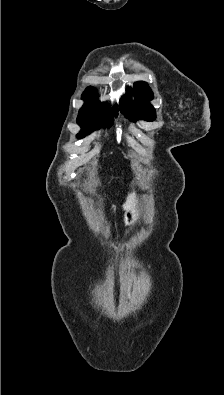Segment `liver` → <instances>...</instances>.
I'll use <instances>...</instances> for the list:
<instances>
[{
  "instance_id": "6515ba94",
  "label": "liver",
  "mask_w": 224,
  "mask_h": 395,
  "mask_svg": "<svg viewBox=\"0 0 224 395\" xmlns=\"http://www.w3.org/2000/svg\"><path fill=\"white\" fill-rule=\"evenodd\" d=\"M136 203V196L135 193L128 195L125 204L123 205V209L127 210L134 206Z\"/></svg>"
}]
</instances>
